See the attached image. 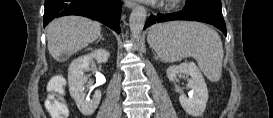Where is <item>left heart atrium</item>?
<instances>
[{
    "label": "left heart atrium",
    "instance_id": "left-heart-atrium-1",
    "mask_svg": "<svg viewBox=\"0 0 273 118\" xmlns=\"http://www.w3.org/2000/svg\"><path fill=\"white\" fill-rule=\"evenodd\" d=\"M154 1H157V0H148V2H154Z\"/></svg>",
    "mask_w": 273,
    "mask_h": 118
}]
</instances>
